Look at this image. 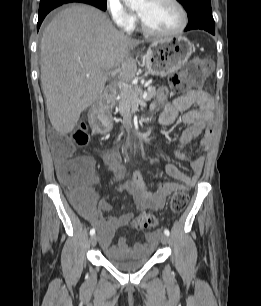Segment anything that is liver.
<instances>
[{
	"label": "liver",
	"mask_w": 261,
	"mask_h": 306,
	"mask_svg": "<svg viewBox=\"0 0 261 306\" xmlns=\"http://www.w3.org/2000/svg\"><path fill=\"white\" fill-rule=\"evenodd\" d=\"M142 41L119 32L105 13L82 4L60 11L41 40V85L50 122L60 134L70 133L80 114L96 102L107 73L119 70L129 82L137 65L130 50Z\"/></svg>",
	"instance_id": "liver-1"
}]
</instances>
